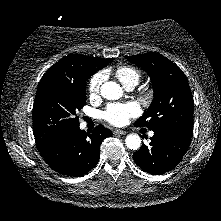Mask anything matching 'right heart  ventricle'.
I'll list each match as a JSON object with an SVG mask.
<instances>
[{"instance_id": "right-heart-ventricle-1", "label": "right heart ventricle", "mask_w": 221, "mask_h": 221, "mask_svg": "<svg viewBox=\"0 0 221 221\" xmlns=\"http://www.w3.org/2000/svg\"><path fill=\"white\" fill-rule=\"evenodd\" d=\"M115 76L124 87H127L131 84L136 86L140 81L141 73L138 69L132 66L123 65L116 68Z\"/></svg>"}]
</instances>
